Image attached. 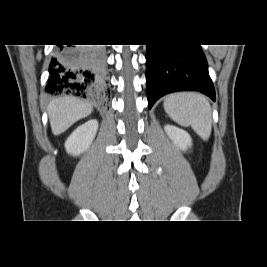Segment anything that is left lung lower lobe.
Masks as SVG:
<instances>
[{
  "label": "left lung lower lobe",
  "instance_id": "obj_1",
  "mask_svg": "<svg viewBox=\"0 0 267 267\" xmlns=\"http://www.w3.org/2000/svg\"><path fill=\"white\" fill-rule=\"evenodd\" d=\"M148 108L163 95L199 91L215 100V90L200 45H147Z\"/></svg>",
  "mask_w": 267,
  "mask_h": 267
}]
</instances>
